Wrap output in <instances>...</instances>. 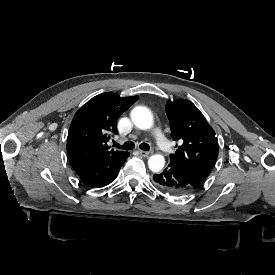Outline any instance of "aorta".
I'll return each instance as SVG.
<instances>
[{
    "label": "aorta",
    "mask_w": 275,
    "mask_h": 275,
    "mask_svg": "<svg viewBox=\"0 0 275 275\" xmlns=\"http://www.w3.org/2000/svg\"><path fill=\"white\" fill-rule=\"evenodd\" d=\"M134 125L141 129L147 130L154 125L153 115L145 106H136L130 113ZM165 165V159L162 155H152L148 159L149 169L154 172H160Z\"/></svg>",
    "instance_id": "obj_1"
}]
</instances>
